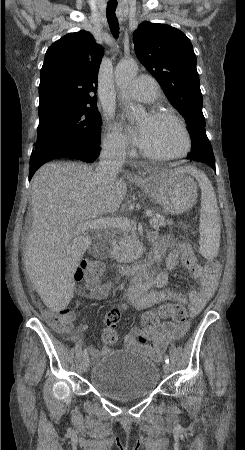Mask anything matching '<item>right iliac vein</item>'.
Returning a JSON list of instances; mask_svg holds the SVG:
<instances>
[{
    "instance_id": "right-iliac-vein-1",
    "label": "right iliac vein",
    "mask_w": 245,
    "mask_h": 450,
    "mask_svg": "<svg viewBox=\"0 0 245 450\" xmlns=\"http://www.w3.org/2000/svg\"><path fill=\"white\" fill-rule=\"evenodd\" d=\"M89 364H90L89 357H87V356L84 357L83 360H82V368H83V370H87L88 367H89Z\"/></svg>"
}]
</instances>
